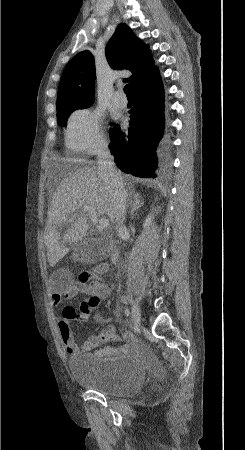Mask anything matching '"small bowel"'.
I'll return each mask as SVG.
<instances>
[{"label":"small bowel","mask_w":245,"mask_h":450,"mask_svg":"<svg viewBox=\"0 0 245 450\" xmlns=\"http://www.w3.org/2000/svg\"><path fill=\"white\" fill-rule=\"evenodd\" d=\"M94 289L92 299L98 301L103 300L108 297L111 286L103 282L99 279V277L94 274ZM76 287L72 286L68 289V291L64 294H52L50 303L52 306H58L63 298H71L76 293ZM79 319L84 322H89L91 320V311L83 309L81 304L79 311ZM120 317L121 314L117 313ZM60 336L66 347V351L71 355H78L85 352L95 351L97 354H111V355H120L126 351H128L131 347H136L138 342L133 335H126L127 345L120 347H105L104 349L98 350V346L102 343V339L98 335L88 336L81 343H76L71 334L70 324L68 321H61L59 324ZM114 331V329H112Z\"/></svg>","instance_id":"c3829d8e"}]
</instances>
